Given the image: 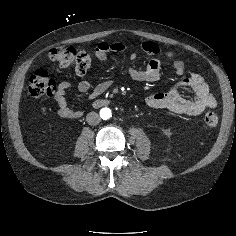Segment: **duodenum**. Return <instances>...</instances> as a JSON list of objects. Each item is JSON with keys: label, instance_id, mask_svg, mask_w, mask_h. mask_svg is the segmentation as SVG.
<instances>
[{"label": "duodenum", "instance_id": "1", "mask_svg": "<svg viewBox=\"0 0 236 236\" xmlns=\"http://www.w3.org/2000/svg\"><path fill=\"white\" fill-rule=\"evenodd\" d=\"M106 103H107L106 100L100 99V100H96V101L94 102V105H95V106H102V105H105Z\"/></svg>", "mask_w": 236, "mask_h": 236}]
</instances>
